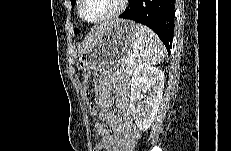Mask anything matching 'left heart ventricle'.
I'll return each mask as SVG.
<instances>
[{"label":"left heart ventricle","instance_id":"b2bd125f","mask_svg":"<svg viewBox=\"0 0 231 151\" xmlns=\"http://www.w3.org/2000/svg\"><path fill=\"white\" fill-rule=\"evenodd\" d=\"M119 0H85L83 14L87 19H97L113 12Z\"/></svg>","mask_w":231,"mask_h":151}]
</instances>
